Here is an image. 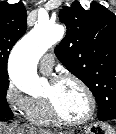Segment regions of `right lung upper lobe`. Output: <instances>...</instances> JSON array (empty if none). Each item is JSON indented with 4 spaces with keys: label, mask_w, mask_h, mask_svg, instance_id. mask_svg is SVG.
I'll use <instances>...</instances> for the list:
<instances>
[{
    "label": "right lung upper lobe",
    "mask_w": 116,
    "mask_h": 134,
    "mask_svg": "<svg viewBox=\"0 0 116 134\" xmlns=\"http://www.w3.org/2000/svg\"><path fill=\"white\" fill-rule=\"evenodd\" d=\"M26 9L21 2L0 3V76L7 75V60L14 44L26 32Z\"/></svg>",
    "instance_id": "right-lung-upper-lobe-1"
}]
</instances>
